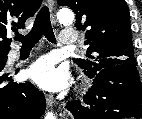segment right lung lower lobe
<instances>
[{
    "mask_svg": "<svg viewBox=\"0 0 142 119\" xmlns=\"http://www.w3.org/2000/svg\"><path fill=\"white\" fill-rule=\"evenodd\" d=\"M7 55L0 60V119H39L45 98L31 83H16L3 69Z\"/></svg>",
    "mask_w": 142,
    "mask_h": 119,
    "instance_id": "right-lung-lower-lobe-1",
    "label": "right lung lower lobe"
}]
</instances>
